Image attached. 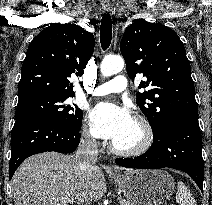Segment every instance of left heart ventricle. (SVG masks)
<instances>
[{
	"instance_id": "left-heart-ventricle-1",
	"label": "left heart ventricle",
	"mask_w": 212,
	"mask_h": 205,
	"mask_svg": "<svg viewBox=\"0 0 212 205\" xmlns=\"http://www.w3.org/2000/svg\"><path fill=\"white\" fill-rule=\"evenodd\" d=\"M142 137V132L139 125L133 121L131 126L115 141H113L118 147L130 148L137 145Z\"/></svg>"
}]
</instances>
